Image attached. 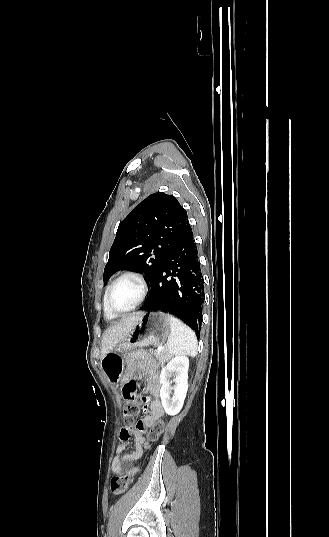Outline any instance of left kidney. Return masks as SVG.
Listing matches in <instances>:
<instances>
[{
    "label": "left kidney",
    "instance_id": "obj_1",
    "mask_svg": "<svg viewBox=\"0 0 329 537\" xmlns=\"http://www.w3.org/2000/svg\"><path fill=\"white\" fill-rule=\"evenodd\" d=\"M188 369V357L176 356L161 371L160 398L164 411L168 415L174 416L182 409L188 390ZM172 383L173 387H171Z\"/></svg>",
    "mask_w": 329,
    "mask_h": 537
}]
</instances>
